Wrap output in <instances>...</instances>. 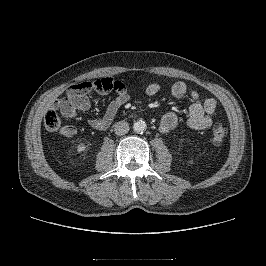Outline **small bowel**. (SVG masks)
Segmentation results:
<instances>
[{
  "label": "small bowel",
  "instance_id": "c3829d8e",
  "mask_svg": "<svg viewBox=\"0 0 266 266\" xmlns=\"http://www.w3.org/2000/svg\"><path fill=\"white\" fill-rule=\"evenodd\" d=\"M158 91L159 85L157 83H152L146 88L148 95H154ZM171 94L179 100L192 99L193 103L189 107L188 116L185 120H182L174 112H168L163 115L160 120V129L163 133L169 134L173 132L180 124H184L187 128L194 130H205L212 125L217 114V105L214 99L209 98L200 102L198 93L183 81H177L172 85ZM128 100L129 95L125 89L116 92L115 98L108 104L103 116L90 119V126L96 130L106 129L117 115L121 106ZM53 106L59 109L65 118H74L77 114L88 111L90 102L84 93L73 96L68 91L67 96L56 100ZM60 134L64 137H72L76 134V129L73 126H65Z\"/></svg>",
  "mask_w": 266,
  "mask_h": 266
}]
</instances>
